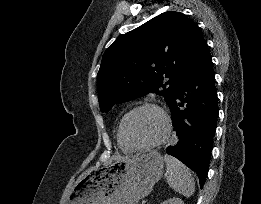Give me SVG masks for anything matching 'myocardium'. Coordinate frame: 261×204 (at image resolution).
<instances>
[{
    "mask_svg": "<svg viewBox=\"0 0 261 204\" xmlns=\"http://www.w3.org/2000/svg\"><path fill=\"white\" fill-rule=\"evenodd\" d=\"M145 109L153 110L160 116L162 123H163V130H162L161 135L153 142H150L145 145H133L125 137V134H124L125 123L132 114H134L138 111H141V110H145ZM170 131H171V120H170L168 113L162 106H160L159 104L154 103V102H144V103H141V104H138V105L132 107L122 117L120 124H119V128H118V134H119V138H120L121 142L123 143V145L125 147H127L131 151H147V150L153 149V148L161 145L168 138Z\"/></svg>",
    "mask_w": 261,
    "mask_h": 204,
    "instance_id": "f54148a6",
    "label": "myocardium"
}]
</instances>
